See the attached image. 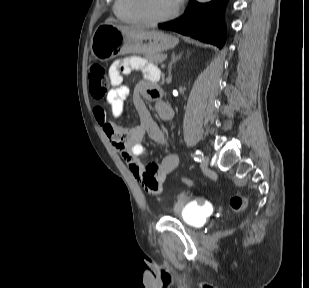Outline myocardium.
Masks as SVG:
<instances>
[{
    "label": "myocardium",
    "mask_w": 309,
    "mask_h": 288,
    "mask_svg": "<svg viewBox=\"0 0 309 288\" xmlns=\"http://www.w3.org/2000/svg\"><path fill=\"white\" fill-rule=\"evenodd\" d=\"M133 1H134L133 7H134L136 14L139 16V18L143 22L148 23V24H158V23H162V22L173 19L179 14V12L182 9V5H183L182 0H181L176 6V8L170 13L163 15V16L154 17L150 15L147 10V0H133Z\"/></svg>",
    "instance_id": "obj_1"
}]
</instances>
